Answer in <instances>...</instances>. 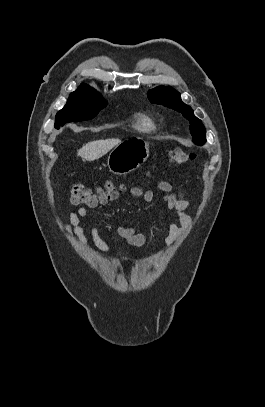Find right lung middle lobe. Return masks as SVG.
<instances>
[{"label": "right lung middle lobe", "instance_id": "right-lung-middle-lobe-1", "mask_svg": "<svg viewBox=\"0 0 265 407\" xmlns=\"http://www.w3.org/2000/svg\"><path fill=\"white\" fill-rule=\"evenodd\" d=\"M105 106L106 102L97 91L82 84L70 94L64 108L57 113L55 128L59 129L60 125L68 122L90 120Z\"/></svg>", "mask_w": 265, "mask_h": 407}]
</instances>
